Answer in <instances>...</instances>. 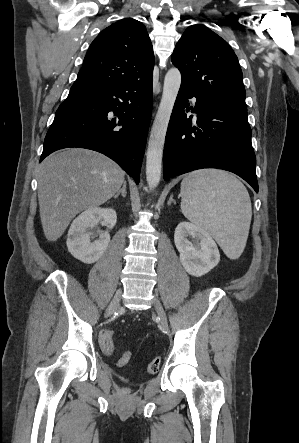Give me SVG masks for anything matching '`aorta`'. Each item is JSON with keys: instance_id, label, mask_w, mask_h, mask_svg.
Listing matches in <instances>:
<instances>
[{"instance_id": "obj_1", "label": "aorta", "mask_w": 299, "mask_h": 443, "mask_svg": "<svg viewBox=\"0 0 299 443\" xmlns=\"http://www.w3.org/2000/svg\"><path fill=\"white\" fill-rule=\"evenodd\" d=\"M180 85L179 70L171 68L165 76L161 102L148 141L146 180L150 189L156 188L160 182L166 132Z\"/></svg>"}]
</instances>
